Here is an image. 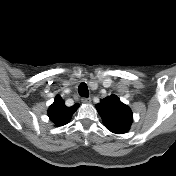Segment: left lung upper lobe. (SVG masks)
Returning a JSON list of instances; mask_svg holds the SVG:
<instances>
[{"instance_id": "5c2ea615", "label": "left lung upper lobe", "mask_w": 176, "mask_h": 176, "mask_svg": "<svg viewBox=\"0 0 176 176\" xmlns=\"http://www.w3.org/2000/svg\"><path fill=\"white\" fill-rule=\"evenodd\" d=\"M105 127L113 133H126L133 121L131 109L116 95H110L96 106Z\"/></svg>"}]
</instances>
